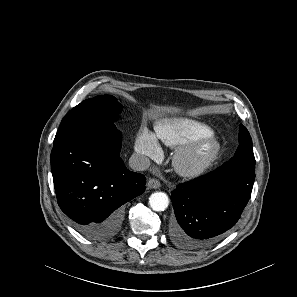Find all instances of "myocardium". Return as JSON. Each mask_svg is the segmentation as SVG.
Wrapping results in <instances>:
<instances>
[{
  "mask_svg": "<svg viewBox=\"0 0 297 297\" xmlns=\"http://www.w3.org/2000/svg\"><path fill=\"white\" fill-rule=\"evenodd\" d=\"M206 146V154L198 158L199 150ZM221 144L213 134H206L180 146L173 157L176 172L183 177L193 178L207 171L218 159Z\"/></svg>",
  "mask_w": 297,
  "mask_h": 297,
  "instance_id": "obj_1",
  "label": "myocardium"
}]
</instances>
